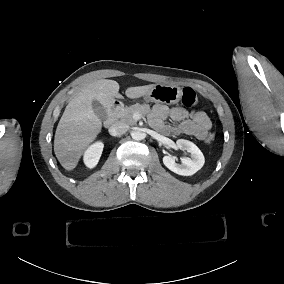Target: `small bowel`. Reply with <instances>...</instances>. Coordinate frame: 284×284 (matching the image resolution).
I'll return each instance as SVG.
<instances>
[{"label": "small bowel", "mask_w": 284, "mask_h": 284, "mask_svg": "<svg viewBox=\"0 0 284 284\" xmlns=\"http://www.w3.org/2000/svg\"><path fill=\"white\" fill-rule=\"evenodd\" d=\"M152 125L173 135H190L205 140L211 129V121L203 111H188L182 107L169 108L163 104L153 107ZM168 121L176 124H169Z\"/></svg>", "instance_id": "c3829d8e"}]
</instances>
